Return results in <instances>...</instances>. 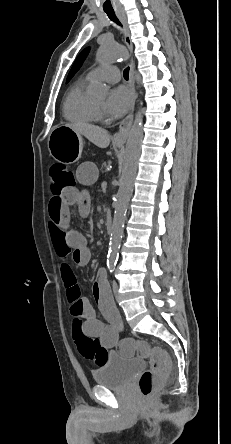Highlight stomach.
Segmentation results:
<instances>
[{"instance_id":"obj_1","label":"stomach","mask_w":231,"mask_h":444,"mask_svg":"<svg viewBox=\"0 0 231 444\" xmlns=\"http://www.w3.org/2000/svg\"><path fill=\"white\" fill-rule=\"evenodd\" d=\"M84 141L81 135L66 126L55 127L48 139V148L51 156L59 162L71 164L79 160L82 155ZM121 147L122 144H117Z\"/></svg>"}]
</instances>
